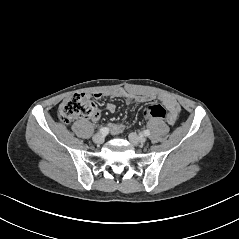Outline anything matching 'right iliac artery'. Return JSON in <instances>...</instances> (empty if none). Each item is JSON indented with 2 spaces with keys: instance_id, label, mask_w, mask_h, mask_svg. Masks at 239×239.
Wrapping results in <instances>:
<instances>
[{
  "instance_id": "1",
  "label": "right iliac artery",
  "mask_w": 239,
  "mask_h": 239,
  "mask_svg": "<svg viewBox=\"0 0 239 239\" xmlns=\"http://www.w3.org/2000/svg\"><path fill=\"white\" fill-rule=\"evenodd\" d=\"M99 132H100L101 134L106 135V134H108L109 129H108L107 127H103V128H101V129L99 130Z\"/></svg>"
}]
</instances>
